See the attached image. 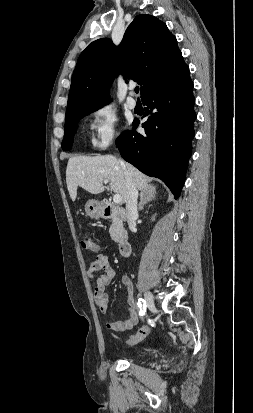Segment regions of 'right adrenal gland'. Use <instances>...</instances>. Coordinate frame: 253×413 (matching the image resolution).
I'll return each instance as SVG.
<instances>
[{"mask_svg":"<svg viewBox=\"0 0 253 413\" xmlns=\"http://www.w3.org/2000/svg\"><path fill=\"white\" fill-rule=\"evenodd\" d=\"M156 197V192H141L140 193V203H139V211L143 210L144 205L148 202L154 200Z\"/></svg>","mask_w":253,"mask_h":413,"instance_id":"2a0ac1e0","label":"right adrenal gland"}]
</instances>
